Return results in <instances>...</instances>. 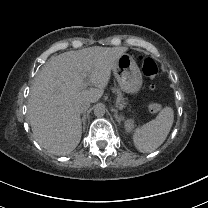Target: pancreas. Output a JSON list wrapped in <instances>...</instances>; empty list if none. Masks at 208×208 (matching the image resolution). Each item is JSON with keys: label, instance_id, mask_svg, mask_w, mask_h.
I'll return each mask as SVG.
<instances>
[{"label": "pancreas", "instance_id": "obj_1", "mask_svg": "<svg viewBox=\"0 0 208 208\" xmlns=\"http://www.w3.org/2000/svg\"><path fill=\"white\" fill-rule=\"evenodd\" d=\"M117 92H118V94H119V97H118L117 101L120 103V105H121L122 107H125V106L127 105L126 100L121 96L119 90H117Z\"/></svg>", "mask_w": 208, "mask_h": 208}]
</instances>
